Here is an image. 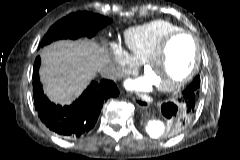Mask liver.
Returning <instances> with one entry per match:
<instances>
[{
	"mask_svg": "<svg viewBox=\"0 0 240 160\" xmlns=\"http://www.w3.org/2000/svg\"><path fill=\"white\" fill-rule=\"evenodd\" d=\"M43 67L40 78L48 98L71 104L95 76L109 63L104 47L94 41L60 40L41 50Z\"/></svg>",
	"mask_w": 240,
	"mask_h": 160,
	"instance_id": "obj_1",
	"label": "liver"
}]
</instances>
